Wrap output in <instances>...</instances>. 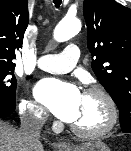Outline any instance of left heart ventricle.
I'll use <instances>...</instances> for the list:
<instances>
[{"label": "left heart ventricle", "instance_id": "obj_1", "mask_svg": "<svg viewBox=\"0 0 131 151\" xmlns=\"http://www.w3.org/2000/svg\"><path fill=\"white\" fill-rule=\"evenodd\" d=\"M108 111L104 101L98 96L83 95L77 118L73 125L86 129H98L105 125Z\"/></svg>", "mask_w": 131, "mask_h": 151}]
</instances>
